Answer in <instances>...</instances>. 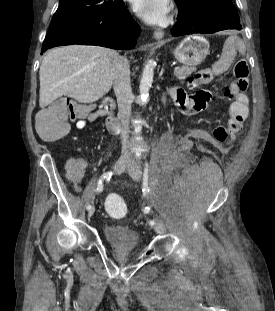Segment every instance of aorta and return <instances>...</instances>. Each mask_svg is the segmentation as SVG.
I'll use <instances>...</instances> for the list:
<instances>
[{"label": "aorta", "mask_w": 275, "mask_h": 311, "mask_svg": "<svg viewBox=\"0 0 275 311\" xmlns=\"http://www.w3.org/2000/svg\"><path fill=\"white\" fill-rule=\"evenodd\" d=\"M154 67H155L154 61L149 60L146 63L145 68L143 70V74H142V78H141L140 86H139L141 98L143 100L147 99L149 95V90L153 82Z\"/></svg>", "instance_id": "762f6f07"}]
</instances>
